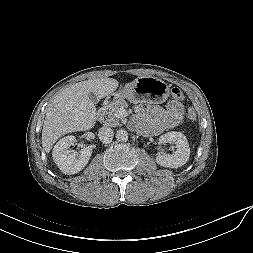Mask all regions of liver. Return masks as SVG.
Returning a JSON list of instances; mask_svg holds the SVG:
<instances>
[{"instance_id":"obj_1","label":"liver","mask_w":253,"mask_h":253,"mask_svg":"<svg viewBox=\"0 0 253 253\" xmlns=\"http://www.w3.org/2000/svg\"><path fill=\"white\" fill-rule=\"evenodd\" d=\"M136 80L127 83L125 87L133 85ZM118 85L116 79L102 77L70 85L54 96L42 129L45 152L49 153L62 135L91 129L96 122V107L88 94L92 92L101 99L113 93Z\"/></svg>"}]
</instances>
